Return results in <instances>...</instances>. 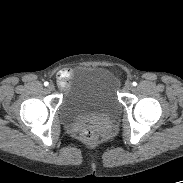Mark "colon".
I'll return each instance as SVG.
<instances>
[{
  "label": "colon",
  "instance_id": "5ec220e1",
  "mask_svg": "<svg viewBox=\"0 0 183 183\" xmlns=\"http://www.w3.org/2000/svg\"><path fill=\"white\" fill-rule=\"evenodd\" d=\"M80 136L82 140L88 144H93L98 138L97 132L94 130L93 125L88 123L80 130Z\"/></svg>",
  "mask_w": 183,
  "mask_h": 183
}]
</instances>
